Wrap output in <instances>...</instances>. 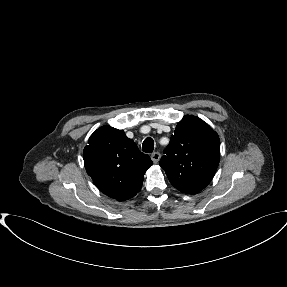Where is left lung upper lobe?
Here are the masks:
<instances>
[{
	"label": "left lung upper lobe",
	"mask_w": 287,
	"mask_h": 287,
	"mask_svg": "<svg viewBox=\"0 0 287 287\" xmlns=\"http://www.w3.org/2000/svg\"><path fill=\"white\" fill-rule=\"evenodd\" d=\"M160 166L179 191L195 194L212 180L219 164L220 140L203 120L186 115L177 124Z\"/></svg>",
	"instance_id": "1"
}]
</instances>
